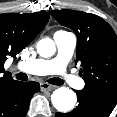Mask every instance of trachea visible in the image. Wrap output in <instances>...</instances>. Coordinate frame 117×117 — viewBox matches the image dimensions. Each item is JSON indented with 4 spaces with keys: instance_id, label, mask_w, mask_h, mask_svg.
Listing matches in <instances>:
<instances>
[{
    "instance_id": "obj_1",
    "label": "trachea",
    "mask_w": 117,
    "mask_h": 117,
    "mask_svg": "<svg viewBox=\"0 0 117 117\" xmlns=\"http://www.w3.org/2000/svg\"><path fill=\"white\" fill-rule=\"evenodd\" d=\"M16 78L18 80H22V81H27L28 80V76L25 74V73H18L16 74ZM48 82L50 84H53V85H63L64 84V81L60 78H51L48 80Z\"/></svg>"
}]
</instances>
